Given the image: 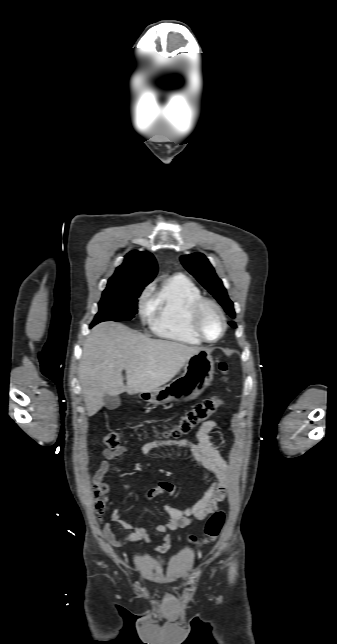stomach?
Instances as JSON below:
<instances>
[{
    "mask_svg": "<svg viewBox=\"0 0 337 644\" xmlns=\"http://www.w3.org/2000/svg\"><path fill=\"white\" fill-rule=\"evenodd\" d=\"M214 362L211 354L202 349L187 360L184 373L168 385L152 392H141V398L151 404L171 401H190L199 397L213 380Z\"/></svg>",
    "mask_w": 337,
    "mask_h": 644,
    "instance_id": "obj_1",
    "label": "stomach"
}]
</instances>
